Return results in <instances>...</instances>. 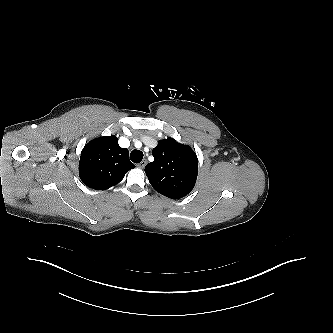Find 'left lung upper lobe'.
I'll use <instances>...</instances> for the list:
<instances>
[{
    "instance_id": "1",
    "label": "left lung upper lobe",
    "mask_w": 333,
    "mask_h": 333,
    "mask_svg": "<svg viewBox=\"0 0 333 333\" xmlns=\"http://www.w3.org/2000/svg\"><path fill=\"white\" fill-rule=\"evenodd\" d=\"M152 154L154 161L145 167L152 187L172 199L190 193L198 173V159L191 147L167 138L158 141Z\"/></svg>"
}]
</instances>
